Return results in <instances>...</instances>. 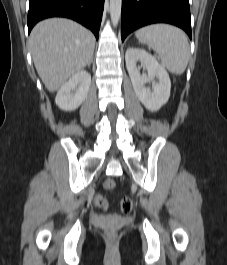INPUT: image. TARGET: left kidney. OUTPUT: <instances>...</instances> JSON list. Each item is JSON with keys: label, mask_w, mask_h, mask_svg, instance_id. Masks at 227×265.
Wrapping results in <instances>:
<instances>
[{"label": "left kidney", "mask_w": 227, "mask_h": 265, "mask_svg": "<svg viewBox=\"0 0 227 265\" xmlns=\"http://www.w3.org/2000/svg\"><path fill=\"white\" fill-rule=\"evenodd\" d=\"M125 61L136 96L148 110L158 111L170 97L171 81L166 69L155 57L137 48L127 49ZM137 62L147 70V76L140 74ZM154 78H157L158 82L155 83ZM148 82L154 84L152 91L145 87Z\"/></svg>", "instance_id": "obj_1"}]
</instances>
